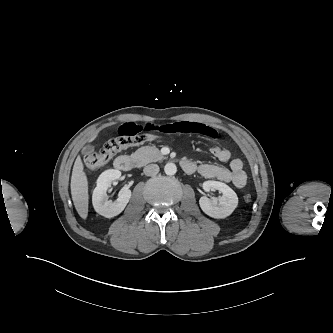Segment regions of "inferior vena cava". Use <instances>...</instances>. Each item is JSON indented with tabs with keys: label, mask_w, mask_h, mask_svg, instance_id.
<instances>
[{
	"label": "inferior vena cava",
	"mask_w": 333,
	"mask_h": 333,
	"mask_svg": "<svg viewBox=\"0 0 333 333\" xmlns=\"http://www.w3.org/2000/svg\"><path fill=\"white\" fill-rule=\"evenodd\" d=\"M143 172L146 176H153L159 172V166L157 164H149L144 167Z\"/></svg>",
	"instance_id": "1"
}]
</instances>
